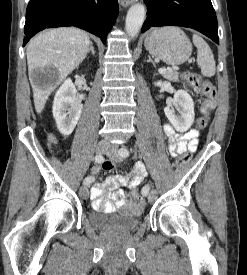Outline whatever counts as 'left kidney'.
I'll return each instance as SVG.
<instances>
[{
  "mask_svg": "<svg viewBox=\"0 0 247 275\" xmlns=\"http://www.w3.org/2000/svg\"><path fill=\"white\" fill-rule=\"evenodd\" d=\"M175 109L179 114L175 113ZM164 113L178 132L187 131L194 122V102L191 96L184 90H178L174 94L173 101L164 108Z\"/></svg>",
  "mask_w": 247,
  "mask_h": 275,
  "instance_id": "5707ae66",
  "label": "left kidney"
}]
</instances>
